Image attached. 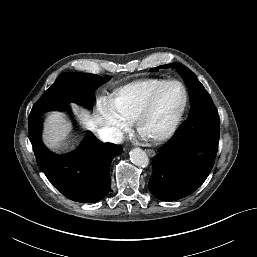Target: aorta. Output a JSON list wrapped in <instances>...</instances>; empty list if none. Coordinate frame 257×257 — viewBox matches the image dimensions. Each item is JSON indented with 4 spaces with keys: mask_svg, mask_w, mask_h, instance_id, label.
Returning a JSON list of instances; mask_svg holds the SVG:
<instances>
[{
    "mask_svg": "<svg viewBox=\"0 0 257 257\" xmlns=\"http://www.w3.org/2000/svg\"><path fill=\"white\" fill-rule=\"evenodd\" d=\"M130 160L133 164L142 166L148 163V156L144 150L134 148L130 151Z\"/></svg>",
    "mask_w": 257,
    "mask_h": 257,
    "instance_id": "aorta-1",
    "label": "aorta"
}]
</instances>
